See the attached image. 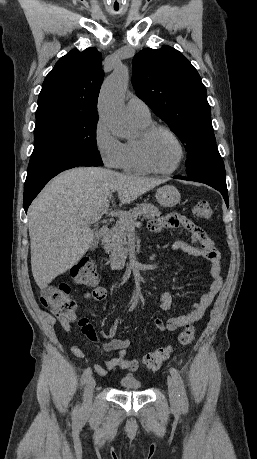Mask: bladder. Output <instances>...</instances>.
<instances>
[{"label": "bladder", "instance_id": "31cf9c89", "mask_svg": "<svg viewBox=\"0 0 257 459\" xmlns=\"http://www.w3.org/2000/svg\"><path fill=\"white\" fill-rule=\"evenodd\" d=\"M119 386L125 391H141L143 388L142 382L137 378L129 375L122 376L119 379Z\"/></svg>", "mask_w": 257, "mask_h": 459}]
</instances>
